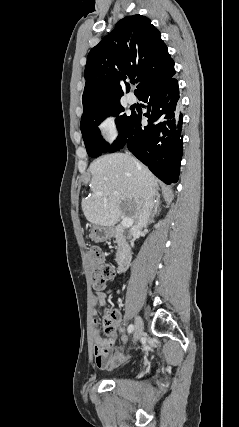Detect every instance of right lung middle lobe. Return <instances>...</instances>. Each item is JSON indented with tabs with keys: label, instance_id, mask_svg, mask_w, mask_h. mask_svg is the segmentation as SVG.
<instances>
[{
	"label": "right lung middle lobe",
	"instance_id": "right-lung-middle-lobe-1",
	"mask_svg": "<svg viewBox=\"0 0 239 427\" xmlns=\"http://www.w3.org/2000/svg\"><path fill=\"white\" fill-rule=\"evenodd\" d=\"M123 111L124 108L121 106L120 102H113L100 105L82 116L80 129L87 153L90 157L95 158L102 153L114 152L118 150L119 147H123L126 140L127 129L133 116V114L127 116ZM107 116L117 117L116 125L119 130V136L111 147L103 140L98 128L100 122Z\"/></svg>",
	"mask_w": 239,
	"mask_h": 427
}]
</instances>
